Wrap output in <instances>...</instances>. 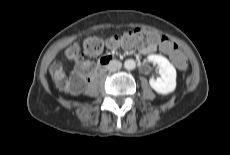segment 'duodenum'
Here are the masks:
<instances>
[{
  "instance_id": "obj_1",
  "label": "duodenum",
  "mask_w": 230,
  "mask_h": 155,
  "mask_svg": "<svg viewBox=\"0 0 230 155\" xmlns=\"http://www.w3.org/2000/svg\"><path fill=\"white\" fill-rule=\"evenodd\" d=\"M116 62V58L111 56V55H106V56H103L97 66L95 67L94 69V72H93V75H98L99 73H101L107 66L113 64Z\"/></svg>"
}]
</instances>
